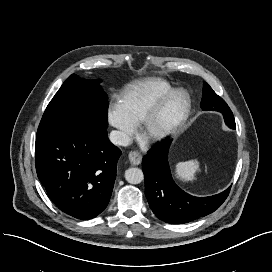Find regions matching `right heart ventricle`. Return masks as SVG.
<instances>
[{
	"label": "right heart ventricle",
	"instance_id": "right-heart-ventricle-1",
	"mask_svg": "<svg viewBox=\"0 0 272 272\" xmlns=\"http://www.w3.org/2000/svg\"><path fill=\"white\" fill-rule=\"evenodd\" d=\"M173 90L161 78H146L130 84L123 92L119 105L135 126L144 122L152 108Z\"/></svg>",
	"mask_w": 272,
	"mask_h": 272
}]
</instances>
